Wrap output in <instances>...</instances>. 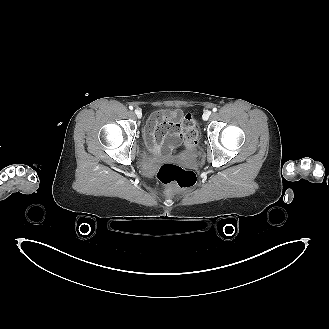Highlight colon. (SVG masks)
<instances>
[{"instance_id": "5ec220e1", "label": "colon", "mask_w": 329, "mask_h": 329, "mask_svg": "<svg viewBox=\"0 0 329 329\" xmlns=\"http://www.w3.org/2000/svg\"><path fill=\"white\" fill-rule=\"evenodd\" d=\"M183 127L185 128V143L189 149L194 148L198 138V129L192 114L183 116ZM156 178L168 186L172 193L177 189L189 188L196 184L197 176L193 170L182 168L173 163H163L156 170Z\"/></svg>"}]
</instances>
